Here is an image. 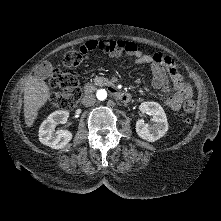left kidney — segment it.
Returning <instances> with one entry per match:
<instances>
[{
  "label": "left kidney",
  "instance_id": "1",
  "mask_svg": "<svg viewBox=\"0 0 221 221\" xmlns=\"http://www.w3.org/2000/svg\"><path fill=\"white\" fill-rule=\"evenodd\" d=\"M140 111L152 116V124H147L139 119L136 122V132L140 138L148 142H154L168 131V122L164 109L156 102H143Z\"/></svg>",
  "mask_w": 221,
  "mask_h": 221
}]
</instances>
